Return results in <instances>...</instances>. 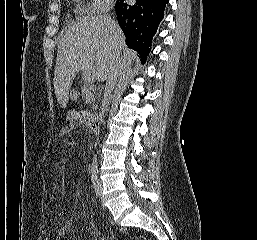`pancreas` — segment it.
Instances as JSON below:
<instances>
[{"instance_id":"1","label":"pancreas","mask_w":257,"mask_h":240,"mask_svg":"<svg viewBox=\"0 0 257 240\" xmlns=\"http://www.w3.org/2000/svg\"><path fill=\"white\" fill-rule=\"evenodd\" d=\"M91 94L90 90H89V85L86 84L84 85V87L82 88V98L86 101V102H90L92 101V99L89 98V95Z\"/></svg>"}]
</instances>
